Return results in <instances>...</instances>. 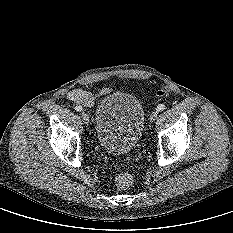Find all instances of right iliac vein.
Returning a JSON list of instances; mask_svg holds the SVG:
<instances>
[{"mask_svg": "<svg viewBox=\"0 0 233 233\" xmlns=\"http://www.w3.org/2000/svg\"><path fill=\"white\" fill-rule=\"evenodd\" d=\"M81 117H82V120L85 124H88L89 123V117L86 113L82 112L81 113Z\"/></svg>", "mask_w": 233, "mask_h": 233, "instance_id": "63e3f726", "label": "right iliac vein"}]
</instances>
